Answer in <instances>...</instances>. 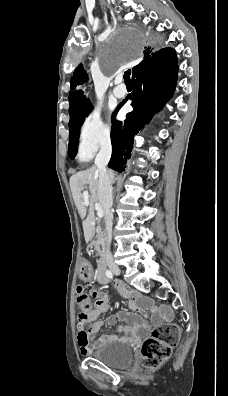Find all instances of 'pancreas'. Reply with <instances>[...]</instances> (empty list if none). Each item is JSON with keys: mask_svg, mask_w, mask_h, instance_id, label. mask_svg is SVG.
I'll list each match as a JSON object with an SVG mask.
<instances>
[{"mask_svg": "<svg viewBox=\"0 0 228 396\" xmlns=\"http://www.w3.org/2000/svg\"><path fill=\"white\" fill-rule=\"evenodd\" d=\"M104 243H105L104 233H103L102 229L100 227H98L97 233L95 236V240L91 241V244L94 245L98 254L102 253L101 247L104 245Z\"/></svg>", "mask_w": 228, "mask_h": 396, "instance_id": "pancreas-1", "label": "pancreas"}]
</instances>
